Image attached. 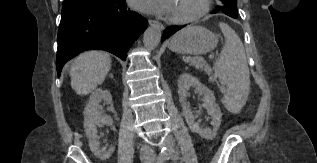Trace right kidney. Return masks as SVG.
<instances>
[{"instance_id":"1","label":"right kidney","mask_w":317,"mask_h":163,"mask_svg":"<svg viewBox=\"0 0 317 163\" xmlns=\"http://www.w3.org/2000/svg\"><path fill=\"white\" fill-rule=\"evenodd\" d=\"M112 102V96L109 91L103 89H96L90 95L89 102L84 109V129L89 141V147L92 153L100 160L109 159L114 153L115 147L111 146L108 150L99 149V136L97 134V126L101 123L108 125L113 124L110 116H104L101 112L100 103Z\"/></svg>"}]
</instances>
